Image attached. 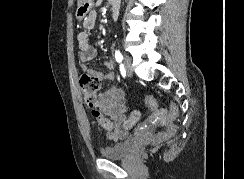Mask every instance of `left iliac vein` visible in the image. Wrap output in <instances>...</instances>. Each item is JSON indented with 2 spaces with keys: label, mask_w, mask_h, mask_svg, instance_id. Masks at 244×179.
Instances as JSON below:
<instances>
[{
  "label": "left iliac vein",
  "mask_w": 244,
  "mask_h": 179,
  "mask_svg": "<svg viewBox=\"0 0 244 179\" xmlns=\"http://www.w3.org/2000/svg\"><path fill=\"white\" fill-rule=\"evenodd\" d=\"M123 65H124L126 73L128 75H132V73H133L132 59L128 56H125Z\"/></svg>",
  "instance_id": "1"
}]
</instances>
